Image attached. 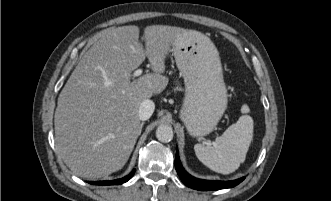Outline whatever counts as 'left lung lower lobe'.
Listing matches in <instances>:
<instances>
[{
	"instance_id": "1",
	"label": "left lung lower lobe",
	"mask_w": 331,
	"mask_h": 201,
	"mask_svg": "<svg viewBox=\"0 0 331 201\" xmlns=\"http://www.w3.org/2000/svg\"><path fill=\"white\" fill-rule=\"evenodd\" d=\"M175 168L176 171L183 181V183L193 189L201 190V191H208V190H220L225 188H231L239 183H241L245 177H242L237 180L233 181H208V180H201L197 179L191 175H189L181 165L178 150H176V157H175Z\"/></svg>"
}]
</instances>
